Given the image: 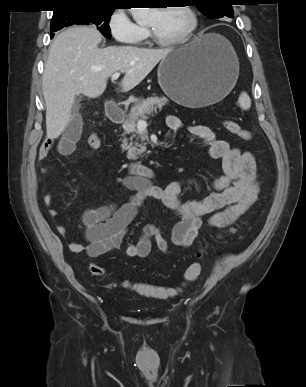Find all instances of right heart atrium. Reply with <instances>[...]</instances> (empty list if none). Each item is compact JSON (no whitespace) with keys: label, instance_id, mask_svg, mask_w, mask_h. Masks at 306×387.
<instances>
[{"label":"right heart atrium","instance_id":"1","mask_svg":"<svg viewBox=\"0 0 306 387\" xmlns=\"http://www.w3.org/2000/svg\"><path fill=\"white\" fill-rule=\"evenodd\" d=\"M111 36L120 44H138L143 41L147 31L134 22L126 9H115L108 19Z\"/></svg>","mask_w":306,"mask_h":387}]
</instances>
